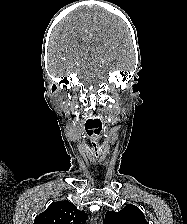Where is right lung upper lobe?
I'll list each match as a JSON object with an SVG mask.
<instances>
[{
    "label": "right lung upper lobe",
    "mask_w": 187,
    "mask_h": 224,
    "mask_svg": "<svg viewBox=\"0 0 187 224\" xmlns=\"http://www.w3.org/2000/svg\"><path fill=\"white\" fill-rule=\"evenodd\" d=\"M87 213L80 211L68 201L53 202L37 215L34 224H85Z\"/></svg>",
    "instance_id": "obj_1"
}]
</instances>
